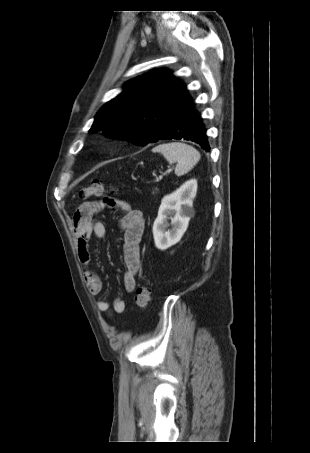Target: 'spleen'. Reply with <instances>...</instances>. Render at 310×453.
<instances>
[{
  "mask_svg": "<svg viewBox=\"0 0 310 453\" xmlns=\"http://www.w3.org/2000/svg\"><path fill=\"white\" fill-rule=\"evenodd\" d=\"M152 152L161 153L170 163L177 162L175 168L177 176H182L189 172L201 158L198 150L181 142L160 144L153 148Z\"/></svg>",
  "mask_w": 310,
  "mask_h": 453,
  "instance_id": "1",
  "label": "spleen"
}]
</instances>
